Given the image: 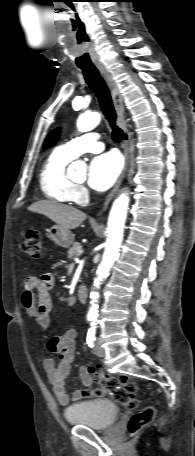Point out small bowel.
Here are the masks:
<instances>
[{"mask_svg": "<svg viewBox=\"0 0 195 456\" xmlns=\"http://www.w3.org/2000/svg\"><path fill=\"white\" fill-rule=\"evenodd\" d=\"M53 285L54 277L50 274L29 276L22 284V305L41 331H46L50 326L52 301L49 291ZM76 336L77 333L72 328H67L60 334L53 336L46 343V350L51 354H56L58 362L56 363L50 356L43 358V367L49 377L53 393L57 401L63 406L68 405L70 401H79L105 394L103 389L93 387L91 372L86 367L79 369V378L85 388L74 390L71 396L67 394L65 380L74 361Z\"/></svg>", "mask_w": 195, "mask_h": 456, "instance_id": "1", "label": "small bowel"}]
</instances>
